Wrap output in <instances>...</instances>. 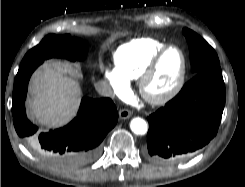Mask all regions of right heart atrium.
Instances as JSON below:
<instances>
[{
  "label": "right heart atrium",
  "instance_id": "1",
  "mask_svg": "<svg viewBox=\"0 0 245 187\" xmlns=\"http://www.w3.org/2000/svg\"><path fill=\"white\" fill-rule=\"evenodd\" d=\"M102 70L112 92L119 97H126L129 93V86L119 76L116 68L111 66H103Z\"/></svg>",
  "mask_w": 245,
  "mask_h": 187
}]
</instances>
